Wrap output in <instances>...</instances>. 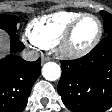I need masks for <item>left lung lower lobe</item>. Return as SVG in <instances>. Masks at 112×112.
Here are the masks:
<instances>
[{"instance_id": "1", "label": "left lung lower lobe", "mask_w": 112, "mask_h": 112, "mask_svg": "<svg viewBox=\"0 0 112 112\" xmlns=\"http://www.w3.org/2000/svg\"><path fill=\"white\" fill-rule=\"evenodd\" d=\"M58 93L72 112H105L112 106V34L91 52L62 60Z\"/></svg>"}]
</instances>
